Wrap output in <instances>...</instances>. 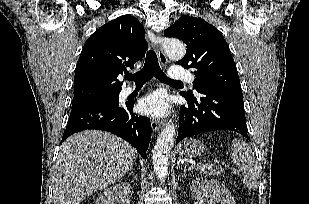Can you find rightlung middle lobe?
Instances as JSON below:
<instances>
[{"instance_id":"right-lung-middle-lobe-1","label":"right lung middle lobe","mask_w":309,"mask_h":204,"mask_svg":"<svg viewBox=\"0 0 309 204\" xmlns=\"http://www.w3.org/2000/svg\"><path fill=\"white\" fill-rule=\"evenodd\" d=\"M119 93L103 96L80 104H73L72 107H81L92 104H119Z\"/></svg>"}]
</instances>
